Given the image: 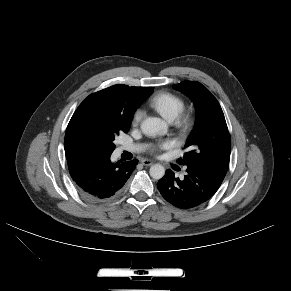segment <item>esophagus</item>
<instances>
[{
	"instance_id": "esophagus-1",
	"label": "esophagus",
	"mask_w": 291,
	"mask_h": 291,
	"mask_svg": "<svg viewBox=\"0 0 291 291\" xmlns=\"http://www.w3.org/2000/svg\"><path fill=\"white\" fill-rule=\"evenodd\" d=\"M141 163L145 166H151L153 164V161L149 160V159H143L141 161Z\"/></svg>"
}]
</instances>
